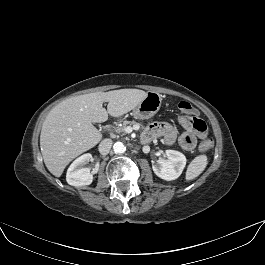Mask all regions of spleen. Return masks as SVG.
Masks as SVG:
<instances>
[{
  "instance_id": "3e777b00",
  "label": "spleen",
  "mask_w": 265,
  "mask_h": 265,
  "mask_svg": "<svg viewBox=\"0 0 265 265\" xmlns=\"http://www.w3.org/2000/svg\"><path fill=\"white\" fill-rule=\"evenodd\" d=\"M208 164L206 155H199L195 157L189 164L186 171V180L190 181L198 177L206 168Z\"/></svg>"
}]
</instances>
